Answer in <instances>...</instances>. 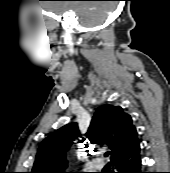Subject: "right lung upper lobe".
Listing matches in <instances>:
<instances>
[{
  "label": "right lung upper lobe",
  "instance_id": "cb5924a9",
  "mask_svg": "<svg viewBox=\"0 0 170 173\" xmlns=\"http://www.w3.org/2000/svg\"><path fill=\"white\" fill-rule=\"evenodd\" d=\"M85 135L92 144L108 145L112 150L111 160L139 144L131 116L120 106L99 107ZM83 140L77 123L67 124L50 134L39 147L31 173H66L67 153L75 141Z\"/></svg>",
  "mask_w": 170,
  "mask_h": 173
}]
</instances>
